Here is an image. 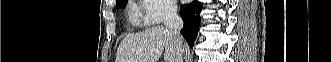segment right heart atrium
<instances>
[{"label":"right heart atrium","mask_w":331,"mask_h":62,"mask_svg":"<svg viewBox=\"0 0 331 62\" xmlns=\"http://www.w3.org/2000/svg\"><path fill=\"white\" fill-rule=\"evenodd\" d=\"M142 22L145 25H155L172 18L175 15L176 4L171 0H141Z\"/></svg>","instance_id":"1"}]
</instances>
